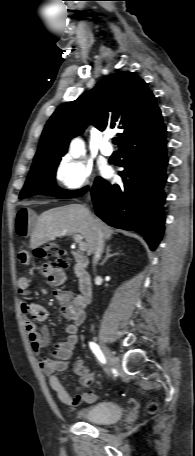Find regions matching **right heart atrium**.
I'll use <instances>...</instances> for the list:
<instances>
[{
	"mask_svg": "<svg viewBox=\"0 0 195 456\" xmlns=\"http://www.w3.org/2000/svg\"><path fill=\"white\" fill-rule=\"evenodd\" d=\"M55 176L63 191L78 192L90 184L92 170L82 161L64 158L58 163Z\"/></svg>",
	"mask_w": 195,
	"mask_h": 456,
	"instance_id": "right-heart-atrium-1",
	"label": "right heart atrium"
}]
</instances>
